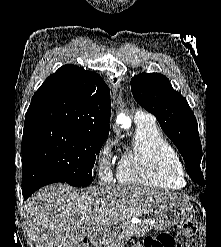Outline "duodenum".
Masks as SVG:
<instances>
[{
  "label": "duodenum",
  "mask_w": 221,
  "mask_h": 247,
  "mask_svg": "<svg viewBox=\"0 0 221 247\" xmlns=\"http://www.w3.org/2000/svg\"><path fill=\"white\" fill-rule=\"evenodd\" d=\"M89 241H91L92 244L99 246L101 244V234L99 231H92L88 235Z\"/></svg>",
  "instance_id": "410a0bca"
}]
</instances>
